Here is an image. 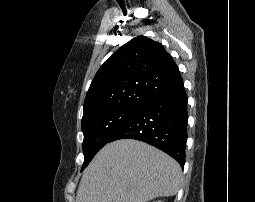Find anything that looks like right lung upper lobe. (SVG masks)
I'll use <instances>...</instances> for the list:
<instances>
[{
	"label": "right lung upper lobe",
	"mask_w": 255,
	"mask_h": 202,
	"mask_svg": "<svg viewBox=\"0 0 255 202\" xmlns=\"http://www.w3.org/2000/svg\"><path fill=\"white\" fill-rule=\"evenodd\" d=\"M181 86L183 80L171 55L158 42L138 36L100 67L87 92L83 117L112 107H141Z\"/></svg>",
	"instance_id": "right-lung-upper-lobe-1"
}]
</instances>
